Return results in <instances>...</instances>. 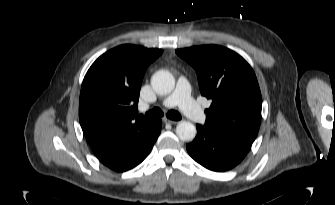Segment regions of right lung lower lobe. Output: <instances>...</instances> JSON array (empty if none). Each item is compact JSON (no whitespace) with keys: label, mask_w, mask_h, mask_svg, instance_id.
<instances>
[{"label":"right lung lower lobe","mask_w":335,"mask_h":205,"mask_svg":"<svg viewBox=\"0 0 335 205\" xmlns=\"http://www.w3.org/2000/svg\"><path fill=\"white\" fill-rule=\"evenodd\" d=\"M162 127V122L160 120V125L157 133L144 145L139 147L138 149L115 157H106V158H99V160L106 165L107 167L115 170L117 172L127 171L129 169L134 168L139 163H141L146 156L149 154L150 150L152 149L153 144L157 140Z\"/></svg>","instance_id":"98d812e1"}]
</instances>
